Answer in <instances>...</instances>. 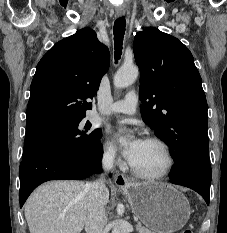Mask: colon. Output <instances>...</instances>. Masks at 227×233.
<instances>
[{
  "label": "colon",
  "instance_id": "colon-1",
  "mask_svg": "<svg viewBox=\"0 0 227 233\" xmlns=\"http://www.w3.org/2000/svg\"><path fill=\"white\" fill-rule=\"evenodd\" d=\"M180 233H193L191 229H184Z\"/></svg>",
  "mask_w": 227,
  "mask_h": 233
}]
</instances>
